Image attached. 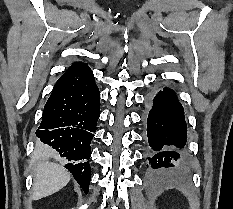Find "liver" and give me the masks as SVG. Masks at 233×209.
<instances>
[{
  "label": "liver",
  "instance_id": "1",
  "mask_svg": "<svg viewBox=\"0 0 233 209\" xmlns=\"http://www.w3.org/2000/svg\"><path fill=\"white\" fill-rule=\"evenodd\" d=\"M70 179V173L62 166L47 160L40 161L34 171L32 199L39 200L58 192Z\"/></svg>",
  "mask_w": 233,
  "mask_h": 209
}]
</instances>
